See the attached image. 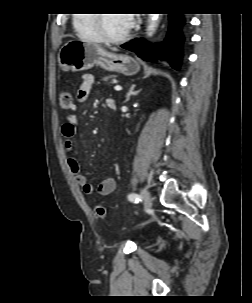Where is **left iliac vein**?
<instances>
[{
	"instance_id": "1",
	"label": "left iliac vein",
	"mask_w": 252,
	"mask_h": 303,
	"mask_svg": "<svg viewBox=\"0 0 252 303\" xmlns=\"http://www.w3.org/2000/svg\"><path fill=\"white\" fill-rule=\"evenodd\" d=\"M140 197L143 200L144 204L147 206V208L150 210L153 206V200L150 193L146 189H143L140 192Z\"/></svg>"
}]
</instances>
